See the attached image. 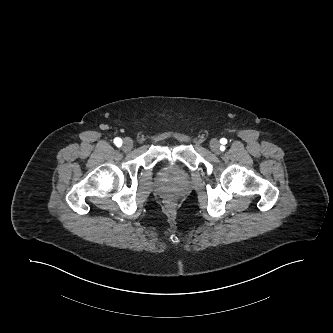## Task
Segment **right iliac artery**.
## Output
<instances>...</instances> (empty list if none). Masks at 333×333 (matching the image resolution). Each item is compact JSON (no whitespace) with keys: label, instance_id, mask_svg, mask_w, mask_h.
<instances>
[{"label":"right iliac artery","instance_id":"obj_1","mask_svg":"<svg viewBox=\"0 0 333 333\" xmlns=\"http://www.w3.org/2000/svg\"><path fill=\"white\" fill-rule=\"evenodd\" d=\"M114 144L118 147H120L122 145V140L120 138H115L114 139Z\"/></svg>","mask_w":333,"mask_h":333}]
</instances>
